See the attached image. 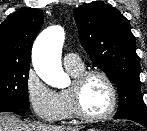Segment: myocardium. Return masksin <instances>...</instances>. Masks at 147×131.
<instances>
[{"mask_svg": "<svg viewBox=\"0 0 147 131\" xmlns=\"http://www.w3.org/2000/svg\"><path fill=\"white\" fill-rule=\"evenodd\" d=\"M92 76H98L102 78L106 82L110 91V98H111L110 105L105 112L99 115L87 114L83 110L81 105V99H80L81 88L85 83V81ZM68 93L71 99L74 115L80 120L86 122H98L107 119L114 113L118 104V92L113 80L107 73L98 69L83 70L78 75H76L73 78L72 86L68 89Z\"/></svg>", "mask_w": 147, "mask_h": 131, "instance_id": "myocardium-1", "label": "myocardium"}]
</instances>
